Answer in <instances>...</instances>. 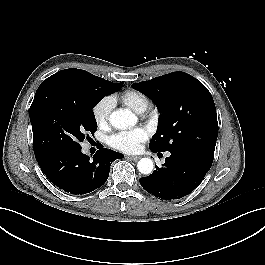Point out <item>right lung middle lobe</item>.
I'll return each mask as SVG.
<instances>
[{
	"label": "right lung middle lobe",
	"instance_id": "right-lung-middle-lobe-1",
	"mask_svg": "<svg viewBox=\"0 0 265 265\" xmlns=\"http://www.w3.org/2000/svg\"><path fill=\"white\" fill-rule=\"evenodd\" d=\"M87 88L72 92L55 85L39 86L30 107L35 156L81 147L97 130L93 108L123 86L84 71Z\"/></svg>",
	"mask_w": 265,
	"mask_h": 265
}]
</instances>
